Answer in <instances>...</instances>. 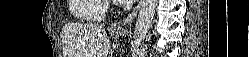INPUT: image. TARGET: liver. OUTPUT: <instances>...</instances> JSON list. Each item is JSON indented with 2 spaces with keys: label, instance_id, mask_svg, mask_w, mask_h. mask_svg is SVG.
<instances>
[{
  "label": "liver",
  "instance_id": "6515ba94",
  "mask_svg": "<svg viewBox=\"0 0 249 57\" xmlns=\"http://www.w3.org/2000/svg\"><path fill=\"white\" fill-rule=\"evenodd\" d=\"M68 53L70 57H107L110 41L104 26L71 23L65 26Z\"/></svg>",
  "mask_w": 249,
  "mask_h": 57
}]
</instances>
